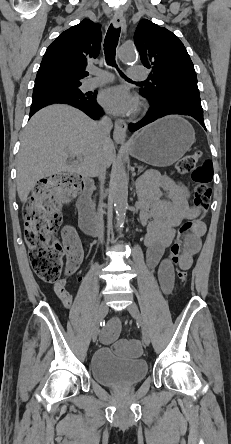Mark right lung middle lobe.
<instances>
[{"mask_svg":"<svg viewBox=\"0 0 231 444\" xmlns=\"http://www.w3.org/2000/svg\"><path fill=\"white\" fill-rule=\"evenodd\" d=\"M81 84H55L48 88L33 90V98L44 95H61L74 99H87L91 95L83 94L79 87Z\"/></svg>","mask_w":231,"mask_h":444,"instance_id":"obj_1","label":"right lung middle lobe"}]
</instances>
